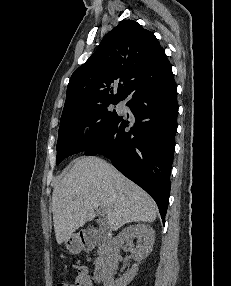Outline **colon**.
Listing matches in <instances>:
<instances>
[{
	"label": "colon",
	"mask_w": 231,
	"mask_h": 286,
	"mask_svg": "<svg viewBox=\"0 0 231 286\" xmlns=\"http://www.w3.org/2000/svg\"><path fill=\"white\" fill-rule=\"evenodd\" d=\"M57 286H74V285L67 283V282H61Z\"/></svg>",
	"instance_id": "obj_1"
}]
</instances>
